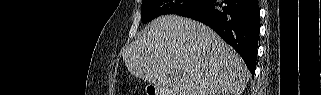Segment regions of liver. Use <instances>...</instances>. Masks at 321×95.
I'll list each match as a JSON object with an SVG mask.
<instances>
[{
	"instance_id": "liver-1",
	"label": "liver",
	"mask_w": 321,
	"mask_h": 95,
	"mask_svg": "<svg viewBox=\"0 0 321 95\" xmlns=\"http://www.w3.org/2000/svg\"><path fill=\"white\" fill-rule=\"evenodd\" d=\"M122 56L128 71L173 95H241L250 78L242 58L211 28L165 15L153 20Z\"/></svg>"
}]
</instances>
